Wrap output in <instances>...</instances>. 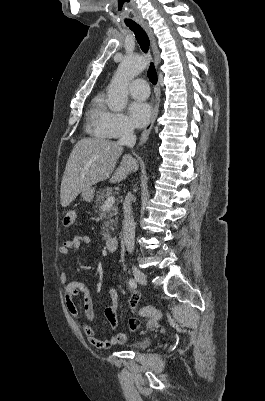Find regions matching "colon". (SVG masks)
I'll return each instance as SVG.
<instances>
[{
	"mask_svg": "<svg viewBox=\"0 0 265 401\" xmlns=\"http://www.w3.org/2000/svg\"><path fill=\"white\" fill-rule=\"evenodd\" d=\"M76 221V212L69 210L64 214L63 222L66 226H72ZM146 317L149 320V324L153 326L156 321L162 318V313L153 307H142L136 311L135 315L130 319L131 330H136L139 327V318Z\"/></svg>",
	"mask_w": 265,
	"mask_h": 401,
	"instance_id": "obj_1",
	"label": "colon"
}]
</instances>
